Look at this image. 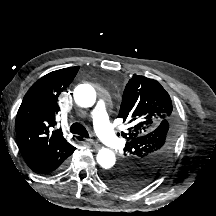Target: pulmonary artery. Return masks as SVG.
<instances>
[{"mask_svg": "<svg viewBox=\"0 0 216 216\" xmlns=\"http://www.w3.org/2000/svg\"><path fill=\"white\" fill-rule=\"evenodd\" d=\"M94 130L99 139L108 147L119 149L124 146V140L117 136L107 114L106 103L99 99L91 111Z\"/></svg>", "mask_w": 216, "mask_h": 216, "instance_id": "e3ab8cb5", "label": "pulmonary artery"}]
</instances>
